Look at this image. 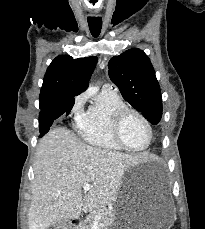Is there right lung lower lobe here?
<instances>
[{
	"label": "right lung lower lobe",
	"mask_w": 205,
	"mask_h": 229,
	"mask_svg": "<svg viewBox=\"0 0 205 229\" xmlns=\"http://www.w3.org/2000/svg\"><path fill=\"white\" fill-rule=\"evenodd\" d=\"M74 103V98H65L58 100L47 108L41 110L39 115V128L41 135L39 137L41 138L49 131V128L55 119L60 117L63 113L68 115Z\"/></svg>",
	"instance_id": "right-lung-lower-lobe-1"
}]
</instances>
